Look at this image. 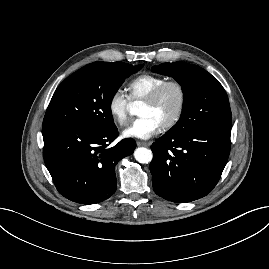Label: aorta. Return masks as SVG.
<instances>
[{"label": "aorta", "instance_id": "aorta-1", "mask_svg": "<svg viewBox=\"0 0 269 269\" xmlns=\"http://www.w3.org/2000/svg\"><path fill=\"white\" fill-rule=\"evenodd\" d=\"M137 112H138V108L136 106H133L130 108L131 115H136ZM134 158L139 163L147 164L152 161L153 154L150 149L139 147L134 151Z\"/></svg>", "mask_w": 269, "mask_h": 269}]
</instances>
